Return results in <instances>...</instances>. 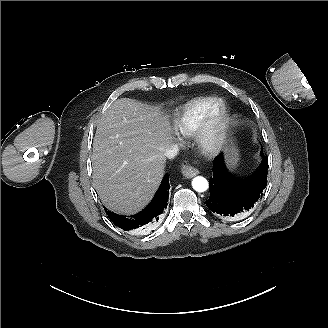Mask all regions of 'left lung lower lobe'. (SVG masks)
Masks as SVG:
<instances>
[{"mask_svg":"<svg viewBox=\"0 0 328 328\" xmlns=\"http://www.w3.org/2000/svg\"><path fill=\"white\" fill-rule=\"evenodd\" d=\"M259 167L247 177L234 176L226 167L224 155L214 159L213 177L209 180L210 197L206 206L225 219L246 215L267 186L268 157L263 155Z\"/></svg>","mask_w":328,"mask_h":328,"instance_id":"1","label":"left lung lower lobe"}]
</instances>
